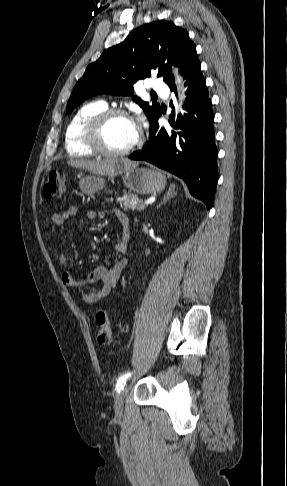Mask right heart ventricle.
Returning a JSON list of instances; mask_svg holds the SVG:
<instances>
[{"instance_id": "1", "label": "right heart ventricle", "mask_w": 287, "mask_h": 486, "mask_svg": "<svg viewBox=\"0 0 287 486\" xmlns=\"http://www.w3.org/2000/svg\"><path fill=\"white\" fill-rule=\"evenodd\" d=\"M107 109L104 101L83 104L70 119L65 131V149L73 157H90L95 153L84 142V128L94 115Z\"/></svg>"}]
</instances>
